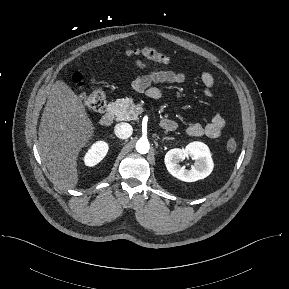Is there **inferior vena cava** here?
<instances>
[{
	"label": "inferior vena cava",
	"instance_id": "1",
	"mask_svg": "<svg viewBox=\"0 0 289 289\" xmlns=\"http://www.w3.org/2000/svg\"><path fill=\"white\" fill-rule=\"evenodd\" d=\"M115 135L120 139H127L132 135V126L128 123H119L114 128Z\"/></svg>",
	"mask_w": 289,
	"mask_h": 289
}]
</instances>
